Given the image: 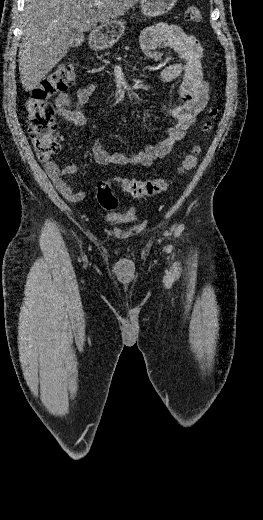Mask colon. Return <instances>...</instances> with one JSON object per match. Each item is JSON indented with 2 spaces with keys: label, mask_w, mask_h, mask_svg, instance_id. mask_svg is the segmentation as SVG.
Listing matches in <instances>:
<instances>
[{
  "label": "colon",
  "mask_w": 263,
  "mask_h": 520,
  "mask_svg": "<svg viewBox=\"0 0 263 520\" xmlns=\"http://www.w3.org/2000/svg\"><path fill=\"white\" fill-rule=\"evenodd\" d=\"M185 19L189 22H199L201 12L197 6H189L185 11ZM75 66L72 63H63L51 71L32 91L26 102V123L28 134L41 162H49L60 149V142L55 134V110L49 102L57 92L71 87L75 81ZM211 119L217 115V109L211 108L208 112ZM211 129V122L204 125V132ZM200 147L196 146L192 152L181 161L178 172L186 173L194 169L198 163ZM121 189L133 198L154 196L164 192L170 185L168 178L135 179L116 178ZM97 199L106 210H115L118 199L114 195L111 184L107 181L97 183Z\"/></svg>",
  "instance_id": "obj_1"
}]
</instances>
